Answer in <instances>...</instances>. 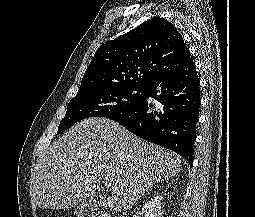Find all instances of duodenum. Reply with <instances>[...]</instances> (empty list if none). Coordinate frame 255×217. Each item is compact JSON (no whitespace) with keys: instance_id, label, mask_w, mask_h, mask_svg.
<instances>
[{"instance_id":"1","label":"duodenum","mask_w":255,"mask_h":217,"mask_svg":"<svg viewBox=\"0 0 255 217\" xmlns=\"http://www.w3.org/2000/svg\"><path fill=\"white\" fill-rule=\"evenodd\" d=\"M98 217H117L115 215H110V214H100Z\"/></svg>"}]
</instances>
